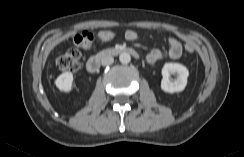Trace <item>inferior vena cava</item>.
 Here are the masks:
<instances>
[{"label":"inferior vena cava","mask_w":244,"mask_h":157,"mask_svg":"<svg viewBox=\"0 0 244 157\" xmlns=\"http://www.w3.org/2000/svg\"><path fill=\"white\" fill-rule=\"evenodd\" d=\"M114 62V58L112 56H105L102 58L101 63L103 66L111 65Z\"/></svg>","instance_id":"inferior-vena-cava-1"}]
</instances>
